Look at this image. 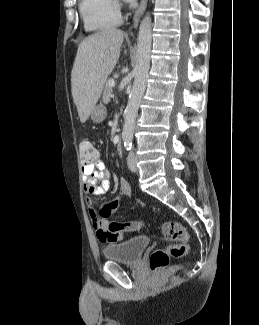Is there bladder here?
<instances>
[{
  "mask_svg": "<svg viewBox=\"0 0 259 325\" xmlns=\"http://www.w3.org/2000/svg\"><path fill=\"white\" fill-rule=\"evenodd\" d=\"M150 244L146 236L133 237L127 241L110 244L103 248L105 259L125 264H136Z\"/></svg>",
  "mask_w": 259,
  "mask_h": 325,
  "instance_id": "bladder-1",
  "label": "bladder"
}]
</instances>
